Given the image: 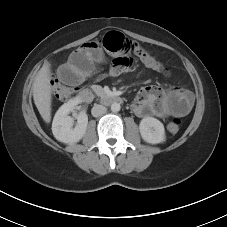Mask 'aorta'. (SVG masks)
<instances>
[{
  "mask_svg": "<svg viewBox=\"0 0 227 227\" xmlns=\"http://www.w3.org/2000/svg\"><path fill=\"white\" fill-rule=\"evenodd\" d=\"M120 109H121V106H120L119 103L114 102V103L111 104V111L112 112H118V111H120Z\"/></svg>",
  "mask_w": 227,
  "mask_h": 227,
  "instance_id": "aorta-1",
  "label": "aorta"
}]
</instances>
